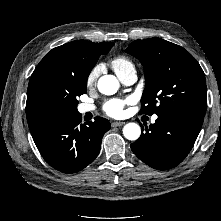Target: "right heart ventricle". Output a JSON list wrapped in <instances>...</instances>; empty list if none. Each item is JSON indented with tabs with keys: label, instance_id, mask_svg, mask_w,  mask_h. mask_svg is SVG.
Listing matches in <instances>:
<instances>
[{
	"label": "right heart ventricle",
	"instance_id": "1",
	"mask_svg": "<svg viewBox=\"0 0 221 221\" xmlns=\"http://www.w3.org/2000/svg\"><path fill=\"white\" fill-rule=\"evenodd\" d=\"M111 67L117 76H119L126 72L129 68L134 67V65L128 58L119 56L111 61Z\"/></svg>",
	"mask_w": 221,
	"mask_h": 221
}]
</instances>
